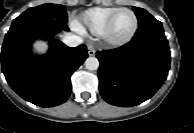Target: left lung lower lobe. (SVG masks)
<instances>
[{"label": "left lung lower lobe", "mask_w": 194, "mask_h": 133, "mask_svg": "<svg viewBox=\"0 0 194 133\" xmlns=\"http://www.w3.org/2000/svg\"><path fill=\"white\" fill-rule=\"evenodd\" d=\"M100 61L99 89L109 104L138 105L162 86L170 68V51L160 21L139 25L132 40L112 50L96 52Z\"/></svg>", "instance_id": "1"}]
</instances>
